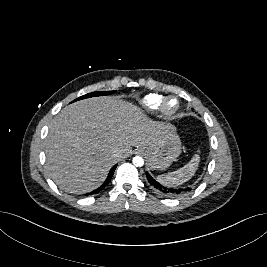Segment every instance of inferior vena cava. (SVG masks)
<instances>
[{
    "mask_svg": "<svg viewBox=\"0 0 267 267\" xmlns=\"http://www.w3.org/2000/svg\"><path fill=\"white\" fill-rule=\"evenodd\" d=\"M120 154H121L120 149H115V150L113 151V156H114V157H119Z\"/></svg>",
    "mask_w": 267,
    "mask_h": 267,
    "instance_id": "inferior-vena-cava-1",
    "label": "inferior vena cava"
}]
</instances>
